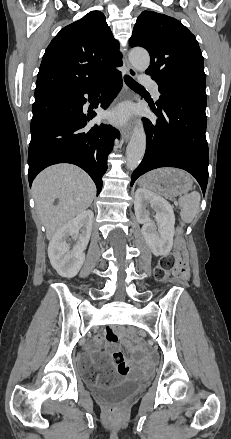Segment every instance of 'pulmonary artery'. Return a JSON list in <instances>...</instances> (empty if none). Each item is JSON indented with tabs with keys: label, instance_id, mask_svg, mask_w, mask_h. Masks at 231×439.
Listing matches in <instances>:
<instances>
[{
	"label": "pulmonary artery",
	"instance_id": "1",
	"mask_svg": "<svg viewBox=\"0 0 231 439\" xmlns=\"http://www.w3.org/2000/svg\"><path fill=\"white\" fill-rule=\"evenodd\" d=\"M141 82L144 85L148 86L152 90L155 99H159V96H160V93L158 90L159 87H158V84L154 80H152L148 76H145V77L141 78Z\"/></svg>",
	"mask_w": 231,
	"mask_h": 439
}]
</instances>
